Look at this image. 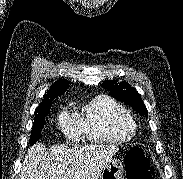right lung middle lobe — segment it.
Returning <instances> with one entry per match:
<instances>
[{"instance_id": "right-lung-middle-lobe-1", "label": "right lung middle lobe", "mask_w": 183, "mask_h": 179, "mask_svg": "<svg viewBox=\"0 0 183 179\" xmlns=\"http://www.w3.org/2000/svg\"><path fill=\"white\" fill-rule=\"evenodd\" d=\"M52 104L44 105V106H39L35 110V118H34V124L32 128V135L30 138V144L33 145L36 143V141L42 137L41 131L44 127V125L47 122V115L50 112V106Z\"/></svg>"}]
</instances>
